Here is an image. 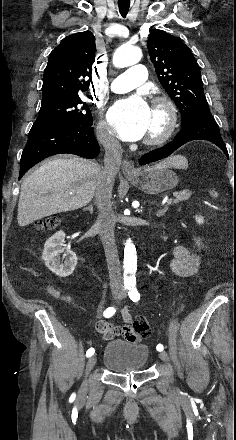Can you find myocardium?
<instances>
[{"label":"myocardium","mask_w":236,"mask_h":440,"mask_svg":"<svg viewBox=\"0 0 236 440\" xmlns=\"http://www.w3.org/2000/svg\"><path fill=\"white\" fill-rule=\"evenodd\" d=\"M152 107L160 110L164 116V123L160 131L147 135L144 142L147 145H160L169 140L174 134L177 123L178 114L174 102L167 96H157L152 100Z\"/></svg>","instance_id":"1"}]
</instances>
